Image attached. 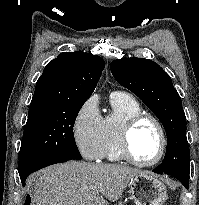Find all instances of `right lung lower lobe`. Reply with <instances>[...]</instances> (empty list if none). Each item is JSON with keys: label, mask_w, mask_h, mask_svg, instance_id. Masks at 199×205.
Returning <instances> with one entry per match:
<instances>
[{"label": "right lung lower lobe", "mask_w": 199, "mask_h": 205, "mask_svg": "<svg viewBox=\"0 0 199 205\" xmlns=\"http://www.w3.org/2000/svg\"><path fill=\"white\" fill-rule=\"evenodd\" d=\"M68 161V159H52V160H49V161H46L28 171H26L25 173L21 174L20 175V179H21V182H22V185L25 186V180L26 178L28 177V175H30L31 173L39 170V169H42L46 166H49V165H52V164H56V163H61V162H66Z\"/></svg>", "instance_id": "98d812e1"}]
</instances>
